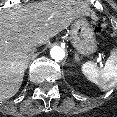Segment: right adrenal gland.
Returning <instances> with one entry per match:
<instances>
[{
    "instance_id": "2a0ac1e0",
    "label": "right adrenal gland",
    "mask_w": 117,
    "mask_h": 117,
    "mask_svg": "<svg viewBox=\"0 0 117 117\" xmlns=\"http://www.w3.org/2000/svg\"><path fill=\"white\" fill-rule=\"evenodd\" d=\"M30 59H31V58H30V56H29V57H28V60H27V63H26V65H25V69L27 68Z\"/></svg>"
}]
</instances>
